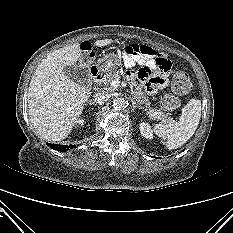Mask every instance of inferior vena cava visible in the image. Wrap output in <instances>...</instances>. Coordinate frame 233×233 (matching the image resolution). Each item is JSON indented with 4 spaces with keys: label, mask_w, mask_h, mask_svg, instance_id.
Here are the masks:
<instances>
[{
    "label": "inferior vena cava",
    "mask_w": 233,
    "mask_h": 233,
    "mask_svg": "<svg viewBox=\"0 0 233 233\" xmlns=\"http://www.w3.org/2000/svg\"><path fill=\"white\" fill-rule=\"evenodd\" d=\"M109 96L104 93H96L94 95V102L97 104H104L108 100Z\"/></svg>",
    "instance_id": "inferior-vena-cava-1"
}]
</instances>
